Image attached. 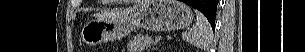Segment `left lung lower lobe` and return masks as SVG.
<instances>
[{"label": "left lung lower lobe", "instance_id": "1", "mask_svg": "<svg viewBox=\"0 0 305 52\" xmlns=\"http://www.w3.org/2000/svg\"><path fill=\"white\" fill-rule=\"evenodd\" d=\"M198 10H200L203 14L206 10H215L217 9L218 0H182ZM212 29H215V24L211 25Z\"/></svg>", "mask_w": 305, "mask_h": 52}]
</instances>
